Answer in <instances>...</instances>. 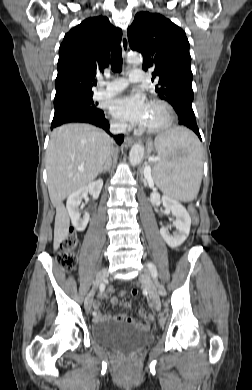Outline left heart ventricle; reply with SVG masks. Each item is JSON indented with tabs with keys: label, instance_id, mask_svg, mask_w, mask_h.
Returning <instances> with one entry per match:
<instances>
[{
	"label": "left heart ventricle",
	"instance_id": "1",
	"mask_svg": "<svg viewBox=\"0 0 252 390\" xmlns=\"http://www.w3.org/2000/svg\"><path fill=\"white\" fill-rule=\"evenodd\" d=\"M166 119L165 111L157 105H149L144 127H154L162 124Z\"/></svg>",
	"mask_w": 252,
	"mask_h": 390
}]
</instances>
